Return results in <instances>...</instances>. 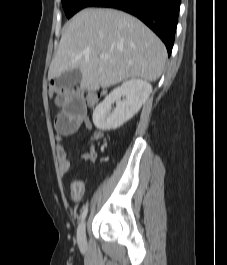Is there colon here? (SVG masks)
<instances>
[{"label":"colon","mask_w":227,"mask_h":265,"mask_svg":"<svg viewBox=\"0 0 227 265\" xmlns=\"http://www.w3.org/2000/svg\"><path fill=\"white\" fill-rule=\"evenodd\" d=\"M59 87L62 86H58L53 83L48 85L47 88L48 95L52 98H55V96H61L59 92ZM77 91H81L82 92L81 96H85L87 106L92 107L98 102V96L95 95L94 93L79 88H77Z\"/></svg>","instance_id":"colon-1"}]
</instances>
